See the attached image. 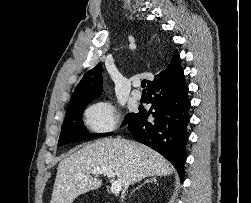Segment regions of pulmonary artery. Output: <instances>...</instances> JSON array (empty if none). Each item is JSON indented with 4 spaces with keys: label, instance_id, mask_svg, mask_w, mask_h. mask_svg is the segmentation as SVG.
<instances>
[{
    "label": "pulmonary artery",
    "instance_id": "pulmonary-artery-1",
    "mask_svg": "<svg viewBox=\"0 0 251 203\" xmlns=\"http://www.w3.org/2000/svg\"><path fill=\"white\" fill-rule=\"evenodd\" d=\"M131 94H132V97L136 100H140L142 97L141 92L137 89H134Z\"/></svg>",
    "mask_w": 251,
    "mask_h": 203
}]
</instances>
